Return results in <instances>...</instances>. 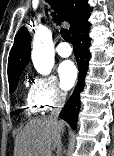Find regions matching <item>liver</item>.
Listing matches in <instances>:
<instances>
[{"label": "liver", "instance_id": "obj_1", "mask_svg": "<svg viewBox=\"0 0 114 156\" xmlns=\"http://www.w3.org/2000/svg\"><path fill=\"white\" fill-rule=\"evenodd\" d=\"M65 122L50 117L30 120L18 133L14 156H46L61 146Z\"/></svg>", "mask_w": 114, "mask_h": 156}]
</instances>
